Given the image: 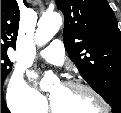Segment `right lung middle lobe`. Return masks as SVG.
I'll return each instance as SVG.
<instances>
[{"mask_svg":"<svg viewBox=\"0 0 121 113\" xmlns=\"http://www.w3.org/2000/svg\"><path fill=\"white\" fill-rule=\"evenodd\" d=\"M12 63L10 62L7 53L6 52H1V99L4 98L3 95V84L4 80L7 77V75L11 72L12 70Z\"/></svg>","mask_w":121,"mask_h":113,"instance_id":"obj_1","label":"right lung middle lobe"}]
</instances>
